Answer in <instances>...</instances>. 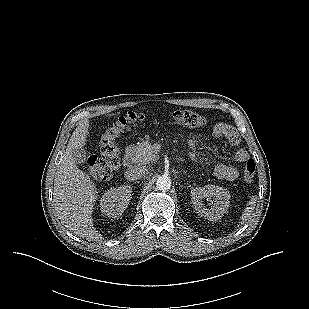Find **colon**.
I'll return each mask as SVG.
<instances>
[{
	"instance_id": "1",
	"label": "colon",
	"mask_w": 309,
	"mask_h": 309,
	"mask_svg": "<svg viewBox=\"0 0 309 309\" xmlns=\"http://www.w3.org/2000/svg\"><path fill=\"white\" fill-rule=\"evenodd\" d=\"M176 123L191 127L200 128L207 124L206 118L193 110H178L169 115ZM147 117L140 113H129L120 117L110 125L102 134L100 139L101 156L87 155L86 167L91 176L106 180L120 167V149L117 144L119 137L131 129L142 126ZM255 163L252 159L247 160L243 172V181L251 183L255 177Z\"/></svg>"
}]
</instances>
